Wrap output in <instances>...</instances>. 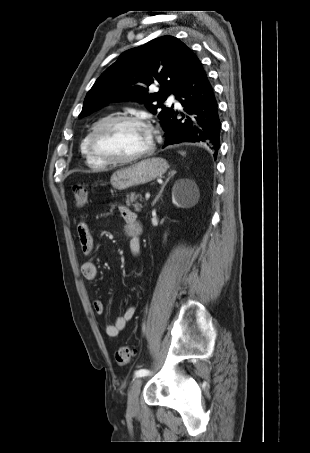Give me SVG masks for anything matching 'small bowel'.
<instances>
[{"label":"small bowel","instance_id":"obj_1","mask_svg":"<svg viewBox=\"0 0 310 453\" xmlns=\"http://www.w3.org/2000/svg\"><path fill=\"white\" fill-rule=\"evenodd\" d=\"M120 213L125 221V231L130 237V250L134 257L140 254L141 250V225L136 213L125 206L119 207ZM77 235L80 248L84 255H91L94 249V240L89 227L85 220H81L77 225ZM81 273L86 280L96 281L98 279V270L95 264L91 261H85L81 264ZM94 311L97 314H103L104 305L101 300L96 299L93 302ZM135 306L129 305L124 310L123 314L118 316L113 323L105 326V333L108 337L115 338L122 331L127 323L135 315Z\"/></svg>","mask_w":310,"mask_h":453}]
</instances>
